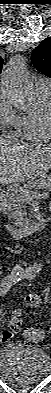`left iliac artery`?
I'll use <instances>...</instances> for the list:
<instances>
[{"instance_id":"left-iliac-artery-1","label":"left iliac artery","mask_w":51,"mask_h":393,"mask_svg":"<svg viewBox=\"0 0 51 393\" xmlns=\"http://www.w3.org/2000/svg\"><path fill=\"white\" fill-rule=\"evenodd\" d=\"M34 277H35L34 273H29V275L26 277V279L30 281Z\"/></svg>"}]
</instances>
